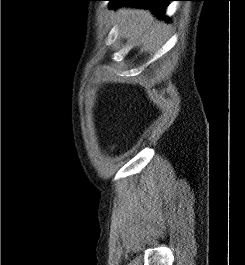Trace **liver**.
Here are the masks:
<instances>
[{
	"instance_id": "liver-1",
	"label": "liver",
	"mask_w": 245,
	"mask_h": 265,
	"mask_svg": "<svg viewBox=\"0 0 245 265\" xmlns=\"http://www.w3.org/2000/svg\"><path fill=\"white\" fill-rule=\"evenodd\" d=\"M119 34L142 45V50L159 48L166 35V25L149 10L121 7L112 14Z\"/></svg>"
}]
</instances>
